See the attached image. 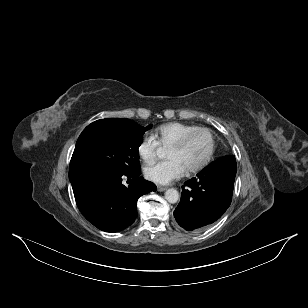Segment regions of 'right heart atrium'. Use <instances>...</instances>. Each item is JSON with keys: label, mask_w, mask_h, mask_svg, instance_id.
I'll return each instance as SVG.
<instances>
[{"label": "right heart atrium", "mask_w": 308, "mask_h": 308, "mask_svg": "<svg viewBox=\"0 0 308 308\" xmlns=\"http://www.w3.org/2000/svg\"><path fill=\"white\" fill-rule=\"evenodd\" d=\"M158 146L152 136L145 135L137 145L138 156L145 164H149L154 161Z\"/></svg>", "instance_id": "1"}]
</instances>
